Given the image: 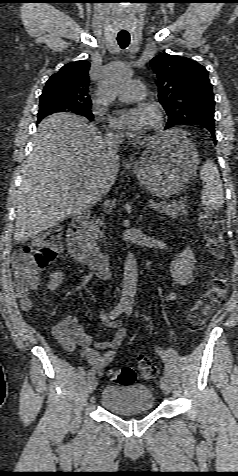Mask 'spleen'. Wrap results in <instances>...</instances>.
Segmentation results:
<instances>
[{"mask_svg":"<svg viewBox=\"0 0 238 476\" xmlns=\"http://www.w3.org/2000/svg\"><path fill=\"white\" fill-rule=\"evenodd\" d=\"M200 175L204 186L201 196L203 206L208 210L221 208L224 203V195L216 165L211 161H206L201 168Z\"/></svg>","mask_w":238,"mask_h":476,"instance_id":"spleen-1","label":"spleen"}]
</instances>
